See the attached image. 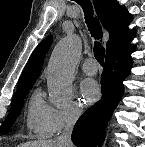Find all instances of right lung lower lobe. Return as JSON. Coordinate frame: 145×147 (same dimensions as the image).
I'll return each instance as SVG.
<instances>
[{
	"label": "right lung lower lobe",
	"instance_id": "right-lung-lower-lobe-1",
	"mask_svg": "<svg viewBox=\"0 0 145 147\" xmlns=\"http://www.w3.org/2000/svg\"><path fill=\"white\" fill-rule=\"evenodd\" d=\"M131 31L106 52L105 67L101 76L102 98L78 119L72 141L77 147H95L104 140L107 121L123 95L122 80L129 75L132 59Z\"/></svg>",
	"mask_w": 145,
	"mask_h": 147
}]
</instances>
